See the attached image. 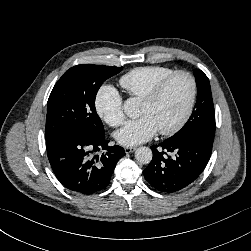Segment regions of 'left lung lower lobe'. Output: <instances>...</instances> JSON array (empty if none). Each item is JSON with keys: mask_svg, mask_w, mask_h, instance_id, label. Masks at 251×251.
<instances>
[{"mask_svg": "<svg viewBox=\"0 0 251 251\" xmlns=\"http://www.w3.org/2000/svg\"><path fill=\"white\" fill-rule=\"evenodd\" d=\"M213 141L202 136L164 140L151 147L153 158L144 170L150 185L165 193H174L191 185L205 169Z\"/></svg>", "mask_w": 251, "mask_h": 251, "instance_id": "left-lung-lower-lobe-1", "label": "left lung lower lobe"}]
</instances>
